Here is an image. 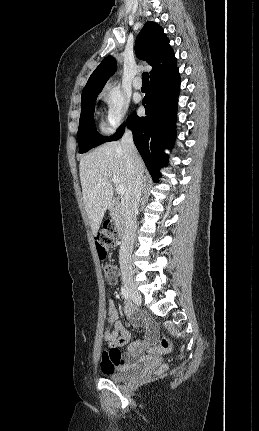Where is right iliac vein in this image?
Here are the masks:
<instances>
[{
	"instance_id": "63e3f726",
	"label": "right iliac vein",
	"mask_w": 259,
	"mask_h": 431,
	"mask_svg": "<svg viewBox=\"0 0 259 431\" xmlns=\"http://www.w3.org/2000/svg\"><path fill=\"white\" fill-rule=\"evenodd\" d=\"M123 283L125 288L127 289L131 299L136 304H141L142 297L140 292L137 290L136 285L133 281L132 276L128 272L123 273Z\"/></svg>"
}]
</instances>
